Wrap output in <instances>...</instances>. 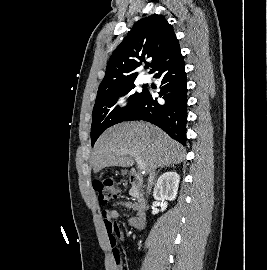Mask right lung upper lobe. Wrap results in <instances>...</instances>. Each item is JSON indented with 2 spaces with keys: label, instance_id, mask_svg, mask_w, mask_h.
<instances>
[{
  "label": "right lung upper lobe",
  "instance_id": "obj_1",
  "mask_svg": "<svg viewBox=\"0 0 267 270\" xmlns=\"http://www.w3.org/2000/svg\"><path fill=\"white\" fill-rule=\"evenodd\" d=\"M178 43L172 26L162 15L139 20L111 55L98 91L134 81L138 74L135 69L146 59L151 60L150 73H153L160 60Z\"/></svg>",
  "mask_w": 267,
  "mask_h": 270
}]
</instances>
